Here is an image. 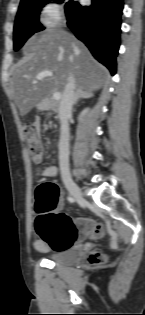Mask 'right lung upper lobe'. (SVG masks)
<instances>
[{
    "label": "right lung upper lobe",
    "mask_w": 145,
    "mask_h": 315,
    "mask_svg": "<svg viewBox=\"0 0 145 315\" xmlns=\"http://www.w3.org/2000/svg\"><path fill=\"white\" fill-rule=\"evenodd\" d=\"M28 1H31V0H21V3L28 2Z\"/></svg>",
    "instance_id": "obj_1"
}]
</instances>
